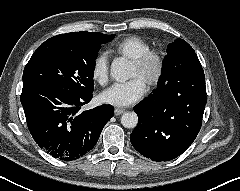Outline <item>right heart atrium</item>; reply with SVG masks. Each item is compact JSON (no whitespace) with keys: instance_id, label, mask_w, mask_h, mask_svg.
I'll list each match as a JSON object with an SVG mask.
<instances>
[{"instance_id":"1","label":"right heart atrium","mask_w":240,"mask_h":191,"mask_svg":"<svg viewBox=\"0 0 240 191\" xmlns=\"http://www.w3.org/2000/svg\"><path fill=\"white\" fill-rule=\"evenodd\" d=\"M92 77L100 84H106L109 77V61L105 53L98 54L92 65Z\"/></svg>"}]
</instances>
